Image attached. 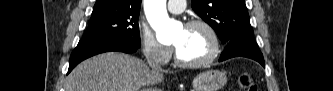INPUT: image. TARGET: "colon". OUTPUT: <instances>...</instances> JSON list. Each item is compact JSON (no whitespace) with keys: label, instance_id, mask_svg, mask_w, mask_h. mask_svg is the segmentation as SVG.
Wrapping results in <instances>:
<instances>
[{"label":"colon","instance_id":"1","mask_svg":"<svg viewBox=\"0 0 333 91\" xmlns=\"http://www.w3.org/2000/svg\"><path fill=\"white\" fill-rule=\"evenodd\" d=\"M238 84L243 91H256L257 86L248 73H242L238 77Z\"/></svg>","mask_w":333,"mask_h":91}]
</instances>
